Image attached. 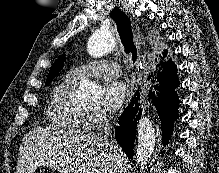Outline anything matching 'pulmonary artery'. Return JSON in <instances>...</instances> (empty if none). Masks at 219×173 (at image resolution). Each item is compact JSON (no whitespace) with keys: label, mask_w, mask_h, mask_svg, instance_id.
Here are the masks:
<instances>
[{"label":"pulmonary artery","mask_w":219,"mask_h":173,"mask_svg":"<svg viewBox=\"0 0 219 173\" xmlns=\"http://www.w3.org/2000/svg\"><path fill=\"white\" fill-rule=\"evenodd\" d=\"M120 66L115 62L94 60L74 67L67 72V78L78 82L83 78L109 79L120 74Z\"/></svg>","instance_id":"e3ab8cb5"}]
</instances>
